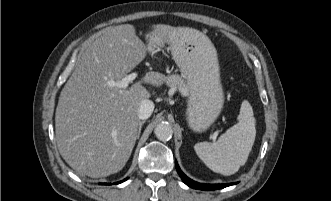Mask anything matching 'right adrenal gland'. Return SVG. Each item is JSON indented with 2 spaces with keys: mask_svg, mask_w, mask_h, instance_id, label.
<instances>
[{
  "mask_svg": "<svg viewBox=\"0 0 331 201\" xmlns=\"http://www.w3.org/2000/svg\"><path fill=\"white\" fill-rule=\"evenodd\" d=\"M145 123V121H141L139 122V128H138V135H137V138H139L140 136V133H141V128H142V125Z\"/></svg>",
  "mask_w": 331,
  "mask_h": 201,
  "instance_id": "right-adrenal-gland-1",
  "label": "right adrenal gland"
}]
</instances>
